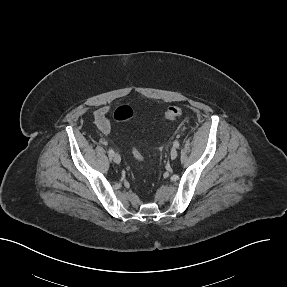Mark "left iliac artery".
I'll return each instance as SVG.
<instances>
[{
  "label": "left iliac artery",
  "instance_id": "obj_1",
  "mask_svg": "<svg viewBox=\"0 0 287 287\" xmlns=\"http://www.w3.org/2000/svg\"><path fill=\"white\" fill-rule=\"evenodd\" d=\"M179 145H180V144H179V142H178V141H174V143H173V146H174V147L178 148V147H179Z\"/></svg>",
  "mask_w": 287,
  "mask_h": 287
}]
</instances>
